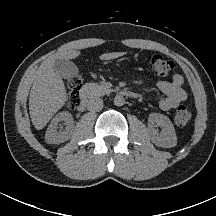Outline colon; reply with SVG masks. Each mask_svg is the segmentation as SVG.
Segmentation results:
<instances>
[{
    "mask_svg": "<svg viewBox=\"0 0 216 216\" xmlns=\"http://www.w3.org/2000/svg\"><path fill=\"white\" fill-rule=\"evenodd\" d=\"M149 64L153 73L158 77H166L173 69V62L169 59L153 54L148 58ZM81 87V79L78 76H72L67 81V104L71 109L78 107L80 102L79 90ZM191 118V114L186 106H178L175 116L174 123L178 128H184L188 125Z\"/></svg>",
    "mask_w": 216,
    "mask_h": 216,
    "instance_id": "1",
    "label": "colon"
}]
</instances>
